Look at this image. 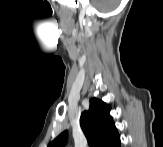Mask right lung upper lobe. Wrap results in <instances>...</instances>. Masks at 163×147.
Here are the masks:
<instances>
[{"label": "right lung upper lobe", "instance_id": "obj_1", "mask_svg": "<svg viewBox=\"0 0 163 147\" xmlns=\"http://www.w3.org/2000/svg\"><path fill=\"white\" fill-rule=\"evenodd\" d=\"M111 106L102 100L92 98L90 108L80 117V126L92 147H110L119 137L115 123L110 116ZM67 130L59 134L48 147H62L67 140Z\"/></svg>", "mask_w": 163, "mask_h": 147}]
</instances>
